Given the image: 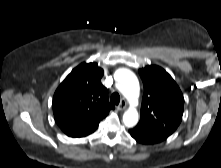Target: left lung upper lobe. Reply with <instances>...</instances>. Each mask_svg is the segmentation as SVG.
Returning a JSON list of instances; mask_svg holds the SVG:
<instances>
[{
	"instance_id": "obj_1",
	"label": "left lung upper lobe",
	"mask_w": 221,
	"mask_h": 168,
	"mask_svg": "<svg viewBox=\"0 0 221 168\" xmlns=\"http://www.w3.org/2000/svg\"><path fill=\"white\" fill-rule=\"evenodd\" d=\"M144 85L141 117L135 130L168 138L179 126L184 98L173 78L159 66L139 69Z\"/></svg>"
}]
</instances>
